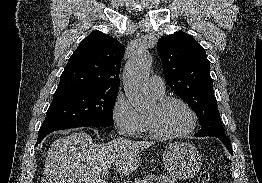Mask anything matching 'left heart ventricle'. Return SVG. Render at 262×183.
I'll return each mask as SVG.
<instances>
[{
  "label": "left heart ventricle",
  "instance_id": "left-heart-ventricle-1",
  "mask_svg": "<svg viewBox=\"0 0 262 183\" xmlns=\"http://www.w3.org/2000/svg\"><path fill=\"white\" fill-rule=\"evenodd\" d=\"M147 116L152 118L158 129L166 134H179L191 127L192 118L189 111L178 103L170 104L163 110L155 105Z\"/></svg>",
  "mask_w": 262,
  "mask_h": 183
}]
</instances>
